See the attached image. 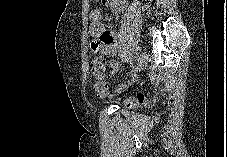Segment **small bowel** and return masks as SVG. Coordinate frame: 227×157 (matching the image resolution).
Returning a JSON list of instances; mask_svg holds the SVG:
<instances>
[{
	"mask_svg": "<svg viewBox=\"0 0 227 157\" xmlns=\"http://www.w3.org/2000/svg\"><path fill=\"white\" fill-rule=\"evenodd\" d=\"M104 4L110 5L116 11L121 12L125 8L128 0H102ZM90 34L96 39L94 43V54H106L114 56L118 51L116 35L108 30L102 22V12L100 9H93L90 12ZM111 74L119 70V64L115 60L109 62Z\"/></svg>",
	"mask_w": 227,
	"mask_h": 157,
	"instance_id": "obj_1",
	"label": "small bowel"
}]
</instances>
